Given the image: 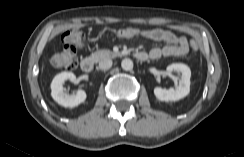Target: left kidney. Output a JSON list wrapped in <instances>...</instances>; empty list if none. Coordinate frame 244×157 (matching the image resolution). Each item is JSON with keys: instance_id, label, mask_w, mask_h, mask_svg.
I'll list each match as a JSON object with an SVG mask.
<instances>
[{"instance_id": "1", "label": "left kidney", "mask_w": 244, "mask_h": 157, "mask_svg": "<svg viewBox=\"0 0 244 157\" xmlns=\"http://www.w3.org/2000/svg\"><path fill=\"white\" fill-rule=\"evenodd\" d=\"M167 72H177L181 74L179 83L176 88L164 89L161 87L154 88V94L156 98L160 101H178L186 97L190 92V68L182 63H174L166 68Z\"/></svg>"}]
</instances>
